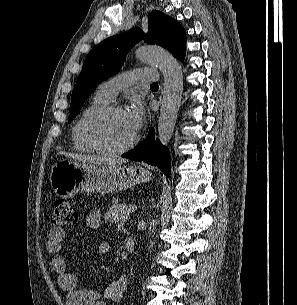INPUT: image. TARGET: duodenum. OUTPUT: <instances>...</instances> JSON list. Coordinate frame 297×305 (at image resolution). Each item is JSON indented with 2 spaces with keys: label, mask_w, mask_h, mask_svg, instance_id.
Instances as JSON below:
<instances>
[{
  "label": "duodenum",
  "mask_w": 297,
  "mask_h": 305,
  "mask_svg": "<svg viewBox=\"0 0 297 305\" xmlns=\"http://www.w3.org/2000/svg\"><path fill=\"white\" fill-rule=\"evenodd\" d=\"M125 248L129 253H133L135 251V242L132 238L126 239Z\"/></svg>",
  "instance_id": "duodenum-1"
}]
</instances>
